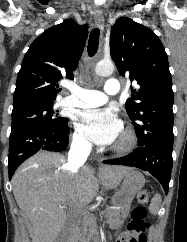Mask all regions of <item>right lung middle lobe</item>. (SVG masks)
Returning a JSON list of instances; mask_svg holds the SVG:
<instances>
[{
	"label": "right lung middle lobe",
	"mask_w": 187,
	"mask_h": 242,
	"mask_svg": "<svg viewBox=\"0 0 187 242\" xmlns=\"http://www.w3.org/2000/svg\"><path fill=\"white\" fill-rule=\"evenodd\" d=\"M53 104V102H30L14 106L11 130L22 127L66 128L68 119L59 117L53 110Z\"/></svg>",
	"instance_id": "obj_1"
}]
</instances>
